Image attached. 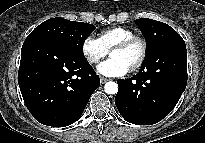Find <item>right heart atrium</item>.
Segmentation results:
<instances>
[{"label": "right heart atrium", "mask_w": 205, "mask_h": 143, "mask_svg": "<svg viewBox=\"0 0 205 143\" xmlns=\"http://www.w3.org/2000/svg\"><path fill=\"white\" fill-rule=\"evenodd\" d=\"M82 53L90 64H96L108 54V50L98 38L87 36L82 43Z\"/></svg>", "instance_id": "1"}]
</instances>
